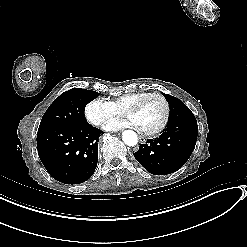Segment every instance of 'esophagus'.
<instances>
[{"instance_id": "esophagus-1", "label": "esophagus", "mask_w": 247, "mask_h": 247, "mask_svg": "<svg viewBox=\"0 0 247 247\" xmlns=\"http://www.w3.org/2000/svg\"><path fill=\"white\" fill-rule=\"evenodd\" d=\"M139 140H140V143H142V144L146 143V139L142 136H139Z\"/></svg>"}]
</instances>
